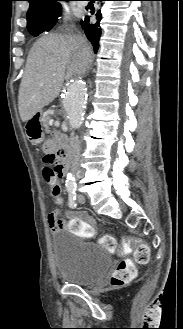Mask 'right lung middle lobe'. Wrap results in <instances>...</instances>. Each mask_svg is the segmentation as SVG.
I'll list each match as a JSON object with an SVG mask.
<instances>
[{
  "instance_id": "obj_1",
  "label": "right lung middle lobe",
  "mask_w": 183,
  "mask_h": 329,
  "mask_svg": "<svg viewBox=\"0 0 183 329\" xmlns=\"http://www.w3.org/2000/svg\"><path fill=\"white\" fill-rule=\"evenodd\" d=\"M60 13H61V11H60ZM60 13H59V15H60ZM57 18L52 21L34 24L30 28H28V31L30 32L31 35L38 36L40 33L44 32V31H49L57 22Z\"/></svg>"
}]
</instances>
